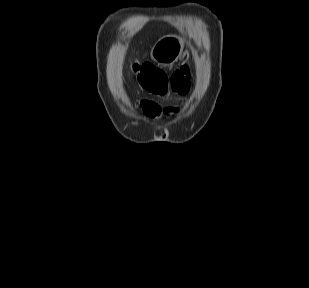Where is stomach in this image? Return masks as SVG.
<instances>
[{
  "mask_svg": "<svg viewBox=\"0 0 309 288\" xmlns=\"http://www.w3.org/2000/svg\"><path fill=\"white\" fill-rule=\"evenodd\" d=\"M184 40L177 35H166L153 46L150 56L158 64L168 66L174 64L181 56Z\"/></svg>",
  "mask_w": 309,
  "mask_h": 288,
  "instance_id": "1",
  "label": "stomach"
}]
</instances>
